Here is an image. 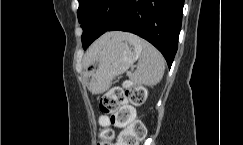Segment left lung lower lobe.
I'll return each mask as SVG.
<instances>
[{"label": "left lung lower lobe", "instance_id": "1", "mask_svg": "<svg viewBox=\"0 0 243 145\" xmlns=\"http://www.w3.org/2000/svg\"><path fill=\"white\" fill-rule=\"evenodd\" d=\"M184 0H125L110 21L86 22L87 35L82 41L86 49L107 31L134 33L153 44L171 67L178 47Z\"/></svg>", "mask_w": 243, "mask_h": 145}]
</instances>
